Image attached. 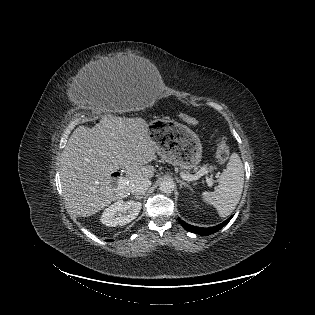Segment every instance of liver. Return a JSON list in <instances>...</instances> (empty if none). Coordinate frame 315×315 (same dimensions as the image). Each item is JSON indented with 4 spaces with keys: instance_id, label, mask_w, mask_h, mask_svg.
Here are the masks:
<instances>
[{
    "instance_id": "6515ba94",
    "label": "liver",
    "mask_w": 315,
    "mask_h": 315,
    "mask_svg": "<svg viewBox=\"0 0 315 315\" xmlns=\"http://www.w3.org/2000/svg\"><path fill=\"white\" fill-rule=\"evenodd\" d=\"M141 117L104 116L94 127L81 125L71 134L60 161L63 196L69 210L88 217L115 200L127 197L137 181L154 176L148 165L156 157V142ZM126 170L128 184L117 190L112 173Z\"/></svg>"
}]
</instances>
